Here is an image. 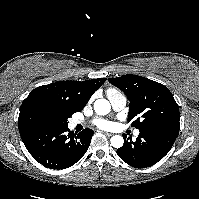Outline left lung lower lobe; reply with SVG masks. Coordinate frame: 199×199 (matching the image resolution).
Returning a JSON list of instances; mask_svg holds the SVG:
<instances>
[{
    "label": "left lung lower lobe",
    "mask_w": 199,
    "mask_h": 199,
    "mask_svg": "<svg viewBox=\"0 0 199 199\" xmlns=\"http://www.w3.org/2000/svg\"><path fill=\"white\" fill-rule=\"evenodd\" d=\"M178 132L179 122L162 123L142 130L136 141L128 137L125 144L117 150V154L130 166L136 168L151 166L168 153Z\"/></svg>",
    "instance_id": "left-lung-lower-lobe-1"
}]
</instances>
